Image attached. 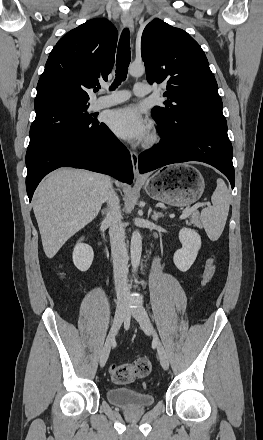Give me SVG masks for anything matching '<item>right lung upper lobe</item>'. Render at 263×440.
Here are the masks:
<instances>
[{
	"label": "right lung upper lobe",
	"instance_id": "right-lung-upper-lobe-1",
	"mask_svg": "<svg viewBox=\"0 0 263 440\" xmlns=\"http://www.w3.org/2000/svg\"><path fill=\"white\" fill-rule=\"evenodd\" d=\"M118 33L104 18L91 19L69 31L52 49L37 84L35 108L60 102L88 103V92L107 80Z\"/></svg>",
	"mask_w": 263,
	"mask_h": 440
}]
</instances>
